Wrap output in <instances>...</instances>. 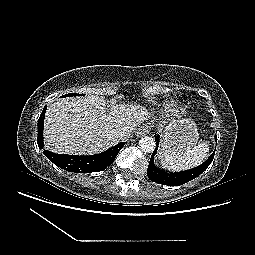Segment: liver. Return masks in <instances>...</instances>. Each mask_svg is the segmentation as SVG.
<instances>
[{
    "label": "liver",
    "mask_w": 255,
    "mask_h": 255,
    "mask_svg": "<svg viewBox=\"0 0 255 255\" xmlns=\"http://www.w3.org/2000/svg\"><path fill=\"white\" fill-rule=\"evenodd\" d=\"M150 112L135 103L107 102L97 95L59 99L48 106L44 139L47 150L55 153L93 155L115 145L117 129L129 136Z\"/></svg>",
    "instance_id": "obj_1"
}]
</instances>
